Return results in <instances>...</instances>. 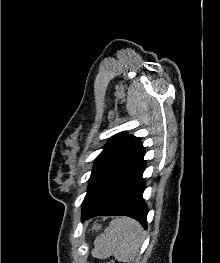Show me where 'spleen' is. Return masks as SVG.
Wrapping results in <instances>:
<instances>
[{
	"mask_svg": "<svg viewBox=\"0 0 220 263\" xmlns=\"http://www.w3.org/2000/svg\"><path fill=\"white\" fill-rule=\"evenodd\" d=\"M143 234V228L137 221L128 217L115 218L95 239L93 255L99 258L113 255L120 262L130 263L138 255Z\"/></svg>",
	"mask_w": 220,
	"mask_h": 263,
	"instance_id": "3e777b00",
	"label": "spleen"
}]
</instances>
